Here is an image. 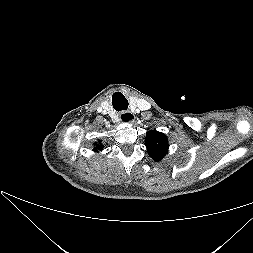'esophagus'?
<instances>
[{"label": "esophagus", "mask_w": 253, "mask_h": 253, "mask_svg": "<svg viewBox=\"0 0 253 253\" xmlns=\"http://www.w3.org/2000/svg\"><path fill=\"white\" fill-rule=\"evenodd\" d=\"M119 117H120V120L124 123L133 124L136 120V116L130 111L122 112Z\"/></svg>", "instance_id": "obj_1"}]
</instances>
